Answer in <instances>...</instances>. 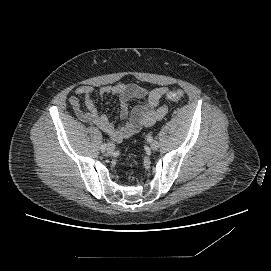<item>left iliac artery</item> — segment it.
<instances>
[{
  "mask_svg": "<svg viewBox=\"0 0 271 271\" xmlns=\"http://www.w3.org/2000/svg\"><path fill=\"white\" fill-rule=\"evenodd\" d=\"M153 141V138L151 135H148L147 136V142L151 143Z\"/></svg>",
  "mask_w": 271,
  "mask_h": 271,
  "instance_id": "1",
  "label": "left iliac artery"
}]
</instances>
